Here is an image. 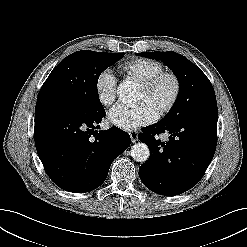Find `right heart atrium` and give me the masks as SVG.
<instances>
[{"label": "right heart atrium", "instance_id": "1", "mask_svg": "<svg viewBox=\"0 0 247 247\" xmlns=\"http://www.w3.org/2000/svg\"><path fill=\"white\" fill-rule=\"evenodd\" d=\"M94 89L99 103L105 107L111 106L116 99V78L105 69L95 79Z\"/></svg>", "mask_w": 247, "mask_h": 247}]
</instances>
